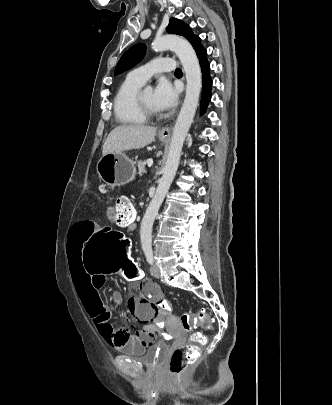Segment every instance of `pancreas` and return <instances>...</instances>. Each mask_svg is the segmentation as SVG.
I'll use <instances>...</instances> for the list:
<instances>
[{
    "instance_id": "pancreas-1",
    "label": "pancreas",
    "mask_w": 332,
    "mask_h": 405,
    "mask_svg": "<svg viewBox=\"0 0 332 405\" xmlns=\"http://www.w3.org/2000/svg\"><path fill=\"white\" fill-rule=\"evenodd\" d=\"M145 165H146V162L141 161V160L137 161L138 175L140 177H142L146 173Z\"/></svg>"
}]
</instances>
